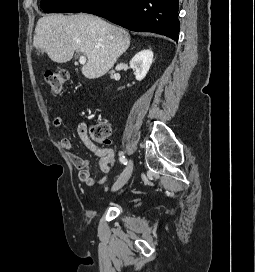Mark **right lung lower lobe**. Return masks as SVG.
<instances>
[{
  "label": "right lung lower lobe",
  "instance_id": "98d812e1",
  "mask_svg": "<svg viewBox=\"0 0 255 272\" xmlns=\"http://www.w3.org/2000/svg\"><path fill=\"white\" fill-rule=\"evenodd\" d=\"M132 31H148L178 40V0H97L83 11Z\"/></svg>",
  "mask_w": 255,
  "mask_h": 272
}]
</instances>
